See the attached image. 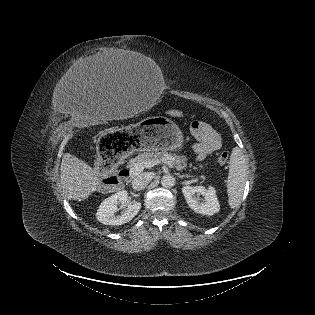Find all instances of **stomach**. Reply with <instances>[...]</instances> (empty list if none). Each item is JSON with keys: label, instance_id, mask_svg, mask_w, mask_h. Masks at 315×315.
Returning a JSON list of instances; mask_svg holds the SVG:
<instances>
[{"label": "stomach", "instance_id": "0dacf381", "mask_svg": "<svg viewBox=\"0 0 315 315\" xmlns=\"http://www.w3.org/2000/svg\"><path fill=\"white\" fill-rule=\"evenodd\" d=\"M184 136L179 126L163 116L148 117L137 125L107 132L99 140V153L114 161L135 151L179 150Z\"/></svg>", "mask_w": 315, "mask_h": 315}]
</instances>
